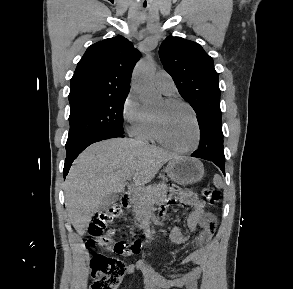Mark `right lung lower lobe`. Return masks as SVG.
<instances>
[{"label": "right lung lower lobe", "mask_w": 293, "mask_h": 289, "mask_svg": "<svg viewBox=\"0 0 293 289\" xmlns=\"http://www.w3.org/2000/svg\"><path fill=\"white\" fill-rule=\"evenodd\" d=\"M115 137H124V133L117 132V131L100 132V133L91 135L89 137H86L82 140H79L69 146H66L67 157L65 160V165H64V170H63L64 178L68 174V171H69L70 166H71L72 162L74 161V159L86 147H88L89 145H91L95 142L105 140V139L115 138Z\"/></svg>", "instance_id": "1"}]
</instances>
